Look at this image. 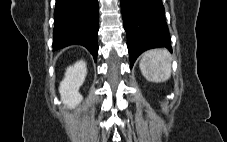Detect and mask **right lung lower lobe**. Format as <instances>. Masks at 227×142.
<instances>
[{
	"label": "right lung lower lobe",
	"instance_id": "right-lung-lower-lobe-1",
	"mask_svg": "<svg viewBox=\"0 0 227 142\" xmlns=\"http://www.w3.org/2000/svg\"><path fill=\"white\" fill-rule=\"evenodd\" d=\"M53 50L72 44L86 47L96 61L98 0H56Z\"/></svg>",
	"mask_w": 227,
	"mask_h": 142
}]
</instances>
